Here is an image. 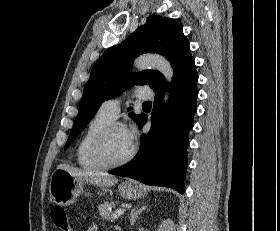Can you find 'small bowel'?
<instances>
[{
    "instance_id": "obj_1",
    "label": "small bowel",
    "mask_w": 280,
    "mask_h": 231,
    "mask_svg": "<svg viewBox=\"0 0 280 231\" xmlns=\"http://www.w3.org/2000/svg\"><path fill=\"white\" fill-rule=\"evenodd\" d=\"M88 231H97V226L96 225H92L88 228Z\"/></svg>"
}]
</instances>
